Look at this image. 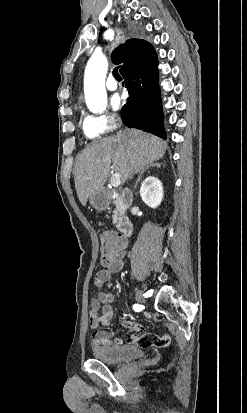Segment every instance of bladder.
I'll return each mask as SVG.
<instances>
[{
    "label": "bladder",
    "instance_id": "31cf9c89",
    "mask_svg": "<svg viewBox=\"0 0 247 413\" xmlns=\"http://www.w3.org/2000/svg\"><path fill=\"white\" fill-rule=\"evenodd\" d=\"M94 357L108 363H124L142 358L143 351L137 346H122L111 342L102 349H95Z\"/></svg>",
    "mask_w": 247,
    "mask_h": 413
}]
</instances>
